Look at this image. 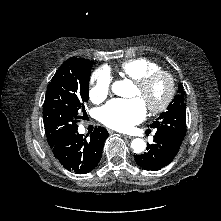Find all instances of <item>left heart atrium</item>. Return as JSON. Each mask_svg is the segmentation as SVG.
Here are the masks:
<instances>
[{
  "mask_svg": "<svg viewBox=\"0 0 221 221\" xmlns=\"http://www.w3.org/2000/svg\"><path fill=\"white\" fill-rule=\"evenodd\" d=\"M146 115V107L140 98L130 100L115 99L99 111L100 121L117 131H127L141 122Z\"/></svg>",
  "mask_w": 221,
  "mask_h": 221,
  "instance_id": "1",
  "label": "left heart atrium"
}]
</instances>
